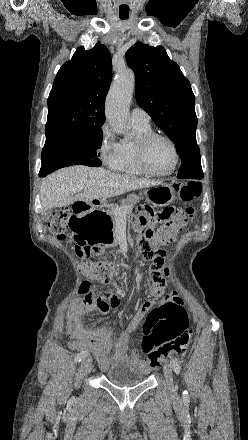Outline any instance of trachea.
<instances>
[{
    "instance_id": "trachea-1",
    "label": "trachea",
    "mask_w": 248,
    "mask_h": 440,
    "mask_svg": "<svg viewBox=\"0 0 248 440\" xmlns=\"http://www.w3.org/2000/svg\"><path fill=\"white\" fill-rule=\"evenodd\" d=\"M120 18H121V19H127V18H128V15H120Z\"/></svg>"
}]
</instances>
